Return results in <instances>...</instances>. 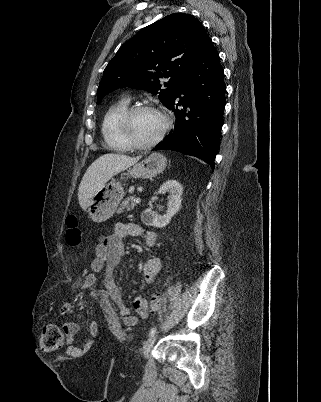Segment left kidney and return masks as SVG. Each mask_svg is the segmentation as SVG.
<instances>
[{
  "label": "left kidney",
  "instance_id": "obj_1",
  "mask_svg": "<svg viewBox=\"0 0 321 402\" xmlns=\"http://www.w3.org/2000/svg\"><path fill=\"white\" fill-rule=\"evenodd\" d=\"M166 192L169 193L166 214L159 216L154 210L150 208L146 209L142 213L141 219L147 225L163 228L170 223L172 217L180 210L183 193L181 184L174 179L167 180L159 188L160 194H165Z\"/></svg>",
  "mask_w": 321,
  "mask_h": 402
}]
</instances>
